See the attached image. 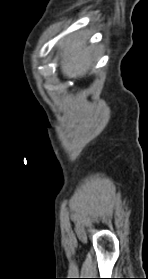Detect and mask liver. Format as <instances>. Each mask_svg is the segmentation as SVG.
Masks as SVG:
<instances>
[{"instance_id": "liver-1", "label": "liver", "mask_w": 148, "mask_h": 279, "mask_svg": "<svg viewBox=\"0 0 148 279\" xmlns=\"http://www.w3.org/2000/svg\"><path fill=\"white\" fill-rule=\"evenodd\" d=\"M86 40L87 37L78 33L65 38L60 43L61 71L69 79L83 77L93 65V48L86 45Z\"/></svg>"}]
</instances>
